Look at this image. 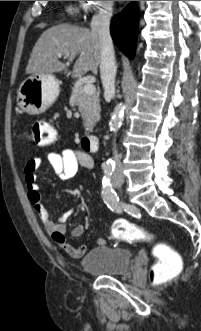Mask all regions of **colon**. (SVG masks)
<instances>
[{"label":"colon","instance_id":"1","mask_svg":"<svg viewBox=\"0 0 201 331\" xmlns=\"http://www.w3.org/2000/svg\"><path fill=\"white\" fill-rule=\"evenodd\" d=\"M31 134L34 143L38 146H48L56 141V130L52 123L46 119L35 120L31 127ZM111 234L114 239L126 242L148 241L153 238L151 233L123 219L113 223ZM154 254L157 261L151 267L150 279L155 285H163L180 273L181 259L175 251L164 244L157 245Z\"/></svg>","mask_w":201,"mask_h":331}]
</instances>
